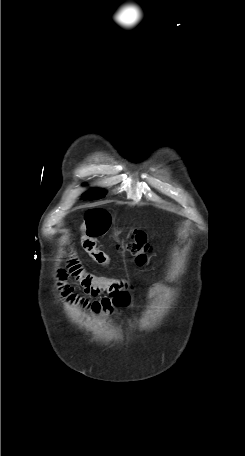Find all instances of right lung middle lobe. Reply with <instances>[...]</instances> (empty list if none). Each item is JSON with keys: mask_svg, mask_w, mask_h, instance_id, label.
<instances>
[{"mask_svg": "<svg viewBox=\"0 0 245 456\" xmlns=\"http://www.w3.org/2000/svg\"><path fill=\"white\" fill-rule=\"evenodd\" d=\"M106 195V193L101 190V189H93L88 193H85L82 195V199L84 200H94V199H99L103 198Z\"/></svg>", "mask_w": 245, "mask_h": 456, "instance_id": "obj_1", "label": "right lung middle lobe"}]
</instances>
